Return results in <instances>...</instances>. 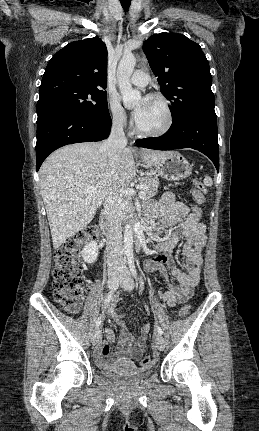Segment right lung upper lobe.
<instances>
[{"label":"right lung upper lobe","mask_w":259,"mask_h":431,"mask_svg":"<svg viewBox=\"0 0 259 431\" xmlns=\"http://www.w3.org/2000/svg\"><path fill=\"white\" fill-rule=\"evenodd\" d=\"M53 82L105 89L107 86L105 43L94 37L67 44L50 59L40 89Z\"/></svg>","instance_id":"1"}]
</instances>
